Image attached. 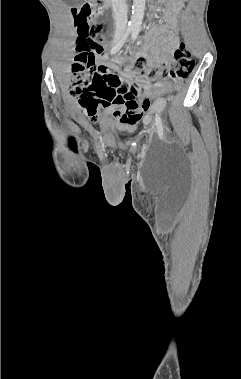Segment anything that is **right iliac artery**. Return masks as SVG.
<instances>
[{
	"instance_id": "82829eb1",
	"label": "right iliac artery",
	"mask_w": 241,
	"mask_h": 379,
	"mask_svg": "<svg viewBox=\"0 0 241 379\" xmlns=\"http://www.w3.org/2000/svg\"><path fill=\"white\" fill-rule=\"evenodd\" d=\"M132 32V29L131 28H128L126 30V32L124 33V35L122 36V38L118 41V43L111 49V53H116L118 52L121 47L123 46V44L125 43V41L127 40L128 36L130 35V33Z\"/></svg>"
}]
</instances>
